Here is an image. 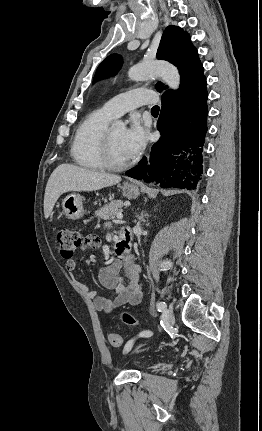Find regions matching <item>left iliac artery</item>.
<instances>
[{
	"label": "left iliac artery",
	"instance_id": "44dca946",
	"mask_svg": "<svg viewBox=\"0 0 262 431\" xmlns=\"http://www.w3.org/2000/svg\"><path fill=\"white\" fill-rule=\"evenodd\" d=\"M157 310L159 311V312H162L164 315H165V310H166V303L165 302H159L158 304H157ZM144 335H146V336H151L153 333L151 332V331H145L144 333H143ZM131 344H132V342L130 341V342H128L127 344H126V346H125V348H124V350L125 351H128L129 349H130V347H131Z\"/></svg>",
	"mask_w": 262,
	"mask_h": 431
}]
</instances>
